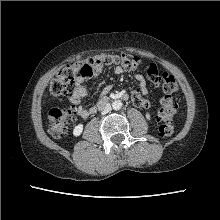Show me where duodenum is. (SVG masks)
Instances as JSON below:
<instances>
[{
  "label": "duodenum",
  "instance_id": "obj_1",
  "mask_svg": "<svg viewBox=\"0 0 220 220\" xmlns=\"http://www.w3.org/2000/svg\"><path fill=\"white\" fill-rule=\"evenodd\" d=\"M111 99H120V100H127L128 99V95L126 93H119L117 94L115 97L111 98ZM109 97L107 96H103L100 101L97 104V109H101L104 108L111 100Z\"/></svg>",
  "mask_w": 220,
  "mask_h": 220
}]
</instances>
